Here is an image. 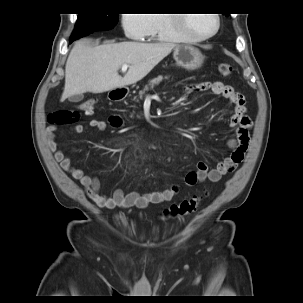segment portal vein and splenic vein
I'll list each match as a JSON object with an SVG mask.
<instances>
[{
    "label": "portal vein and splenic vein",
    "mask_w": 303,
    "mask_h": 303,
    "mask_svg": "<svg viewBox=\"0 0 303 303\" xmlns=\"http://www.w3.org/2000/svg\"><path fill=\"white\" fill-rule=\"evenodd\" d=\"M128 67H129V65L123 64V65H122V72L125 73V72L127 71ZM147 98L149 99L150 96H147Z\"/></svg>",
    "instance_id": "1"
}]
</instances>
